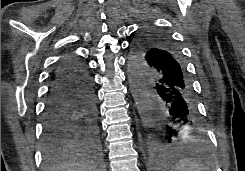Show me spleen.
Listing matches in <instances>:
<instances>
[{
  "label": "spleen",
  "mask_w": 245,
  "mask_h": 171,
  "mask_svg": "<svg viewBox=\"0 0 245 171\" xmlns=\"http://www.w3.org/2000/svg\"><path fill=\"white\" fill-rule=\"evenodd\" d=\"M174 171H210V169L201 160L186 157L175 164Z\"/></svg>",
  "instance_id": "spleen-1"
}]
</instances>
